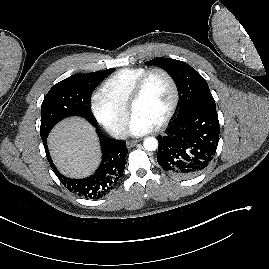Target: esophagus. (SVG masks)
<instances>
[{"mask_svg": "<svg viewBox=\"0 0 269 269\" xmlns=\"http://www.w3.org/2000/svg\"><path fill=\"white\" fill-rule=\"evenodd\" d=\"M138 142H139L138 140L127 141V143H126V147H127L128 149H130V148L134 147Z\"/></svg>", "mask_w": 269, "mask_h": 269, "instance_id": "obj_1", "label": "esophagus"}]
</instances>
